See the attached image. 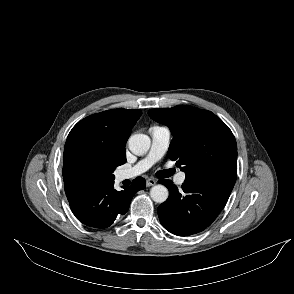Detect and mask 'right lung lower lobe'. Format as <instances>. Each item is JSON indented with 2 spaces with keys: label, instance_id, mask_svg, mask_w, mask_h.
<instances>
[{
  "label": "right lung lower lobe",
  "instance_id": "1",
  "mask_svg": "<svg viewBox=\"0 0 294 294\" xmlns=\"http://www.w3.org/2000/svg\"><path fill=\"white\" fill-rule=\"evenodd\" d=\"M146 185L145 179L137 177L124 190L114 189V180L96 185H73L65 188L70 208L83 224L95 228L109 227L117 216L124 215L130 202Z\"/></svg>",
  "mask_w": 294,
  "mask_h": 294
}]
</instances>
